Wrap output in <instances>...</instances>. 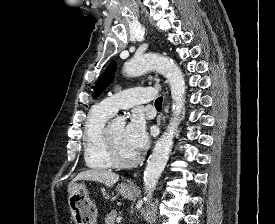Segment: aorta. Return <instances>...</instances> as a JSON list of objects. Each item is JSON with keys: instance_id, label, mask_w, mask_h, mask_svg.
I'll list each match as a JSON object with an SVG mask.
<instances>
[{"instance_id": "aorta-1", "label": "aorta", "mask_w": 275, "mask_h": 224, "mask_svg": "<svg viewBox=\"0 0 275 224\" xmlns=\"http://www.w3.org/2000/svg\"><path fill=\"white\" fill-rule=\"evenodd\" d=\"M123 68L124 72L129 76H138L151 70L158 71L166 77L170 85L171 97L173 100V116L166 132L163 133L156 142L144 171L143 181L146 193L144 201L150 203L153 191L156 188L171 153L173 138L179 125L180 114L185 104L186 86L179 67L173 60L162 55L150 53L135 56L127 61ZM116 121L120 124L125 123L123 117H118Z\"/></svg>"}]
</instances>
